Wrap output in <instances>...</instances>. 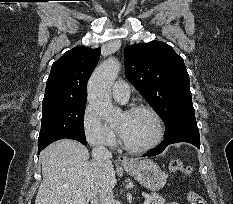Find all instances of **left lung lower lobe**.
Segmentation results:
<instances>
[{
    "label": "left lung lower lobe",
    "instance_id": "left-lung-lower-lobe-1",
    "mask_svg": "<svg viewBox=\"0 0 233 204\" xmlns=\"http://www.w3.org/2000/svg\"><path fill=\"white\" fill-rule=\"evenodd\" d=\"M178 142L191 143L200 149V136L198 129L187 128L178 130L171 136L164 138L156 149L149 151L143 156H154L160 154L166 148V146Z\"/></svg>",
    "mask_w": 233,
    "mask_h": 204
}]
</instances>
